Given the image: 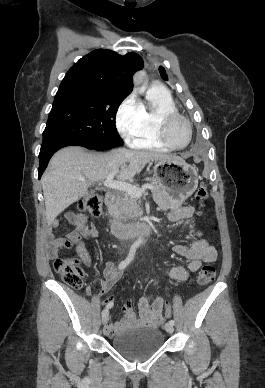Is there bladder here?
Listing matches in <instances>:
<instances>
[{"instance_id":"31cf9c89","label":"bladder","mask_w":265,"mask_h":388,"mask_svg":"<svg viewBox=\"0 0 265 388\" xmlns=\"http://www.w3.org/2000/svg\"><path fill=\"white\" fill-rule=\"evenodd\" d=\"M163 341V333L156 328L134 329L114 336L112 347L125 357L143 359L161 347Z\"/></svg>"}]
</instances>
